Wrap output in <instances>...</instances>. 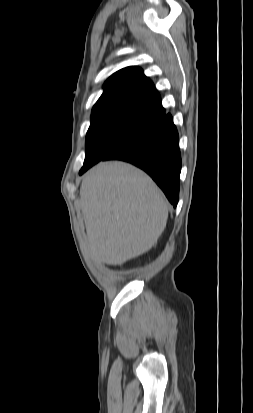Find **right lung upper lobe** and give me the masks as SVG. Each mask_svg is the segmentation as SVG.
<instances>
[{"label":"right lung upper lobe","instance_id":"right-lung-upper-lobe-1","mask_svg":"<svg viewBox=\"0 0 253 413\" xmlns=\"http://www.w3.org/2000/svg\"><path fill=\"white\" fill-rule=\"evenodd\" d=\"M103 87L104 92L94 105L92 114L129 110L162 119L167 115L155 86L139 67L117 71Z\"/></svg>","mask_w":253,"mask_h":413}]
</instances>
